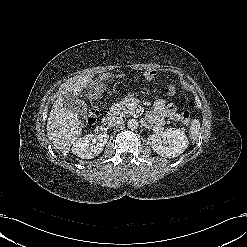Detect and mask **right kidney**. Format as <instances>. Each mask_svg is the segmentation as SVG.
Wrapping results in <instances>:
<instances>
[{"label": "right kidney", "instance_id": "1", "mask_svg": "<svg viewBox=\"0 0 247 247\" xmlns=\"http://www.w3.org/2000/svg\"><path fill=\"white\" fill-rule=\"evenodd\" d=\"M108 139L107 133L87 134L73 143L72 153L81 159H92L103 151Z\"/></svg>", "mask_w": 247, "mask_h": 247}]
</instances>
